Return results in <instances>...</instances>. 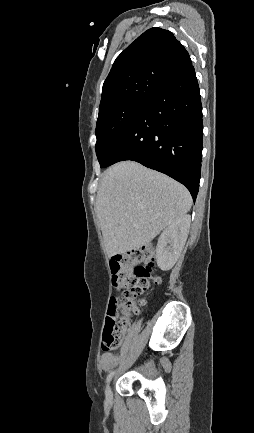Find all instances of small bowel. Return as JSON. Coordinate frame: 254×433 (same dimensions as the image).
<instances>
[{"label": "small bowel", "instance_id": "1", "mask_svg": "<svg viewBox=\"0 0 254 433\" xmlns=\"http://www.w3.org/2000/svg\"><path fill=\"white\" fill-rule=\"evenodd\" d=\"M116 364V359L112 353H104L100 359V366L104 370H109Z\"/></svg>", "mask_w": 254, "mask_h": 433}]
</instances>
